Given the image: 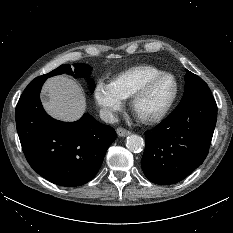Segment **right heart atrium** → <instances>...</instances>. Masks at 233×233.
Instances as JSON below:
<instances>
[{
  "instance_id": "obj_1",
  "label": "right heart atrium",
  "mask_w": 233,
  "mask_h": 233,
  "mask_svg": "<svg viewBox=\"0 0 233 233\" xmlns=\"http://www.w3.org/2000/svg\"><path fill=\"white\" fill-rule=\"evenodd\" d=\"M94 98L104 116L115 119L118 111L122 108L124 99L116 91L111 82L99 80L94 89Z\"/></svg>"
}]
</instances>
